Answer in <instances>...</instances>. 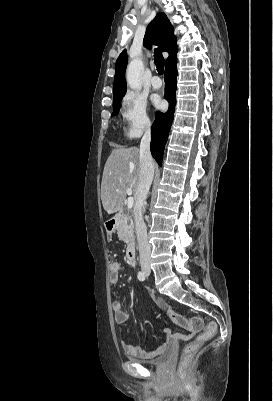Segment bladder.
<instances>
[{"instance_id": "31cf9c89", "label": "bladder", "mask_w": 273, "mask_h": 401, "mask_svg": "<svg viewBox=\"0 0 273 401\" xmlns=\"http://www.w3.org/2000/svg\"><path fill=\"white\" fill-rule=\"evenodd\" d=\"M131 360L138 362L140 364L155 366V367H163L167 365L172 359V351L167 350L163 354H161L157 359L152 361H145L137 359L136 357H130Z\"/></svg>"}]
</instances>
